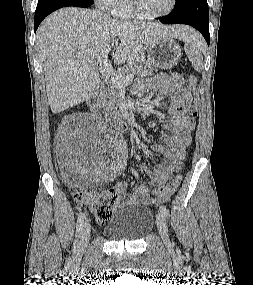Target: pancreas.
Returning <instances> with one entry per match:
<instances>
[{
	"label": "pancreas",
	"instance_id": "1",
	"mask_svg": "<svg viewBox=\"0 0 253 285\" xmlns=\"http://www.w3.org/2000/svg\"><path fill=\"white\" fill-rule=\"evenodd\" d=\"M154 71H157L156 67H153L145 62L134 61L133 63L124 66L118 71V73L126 76L133 74L137 77H145L153 75ZM120 86L113 84L109 79L102 82L100 87V98L103 106L107 110L115 111L117 109L118 99L120 93L118 91Z\"/></svg>",
	"mask_w": 253,
	"mask_h": 285
}]
</instances>
